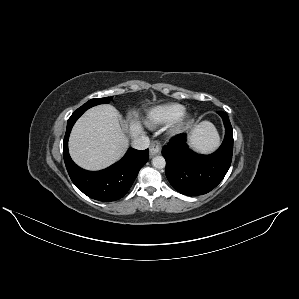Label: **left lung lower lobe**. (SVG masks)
I'll list each match as a JSON object with an SVG mask.
<instances>
[{
    "label": "left lung lower lobe",
    "mask_w": 299,
    "mask_h": 299,
    "mask_svg": "<svg viewBox=\"0 0 299 299\" xmlns=\"http://www.w3.org/2000/svg\"><path fill=\"white\" fill-rule=\"evenodd\" d=\"M223 119L225 138L219 149L210 155H200L189 149L185 135L173 137L162 149L166 160V177L181 194L203 195L215 188L226 175L232 160L233 132L228 115Z\"/></svg>",
    "instance_id": "0a47b994"
}]
</instances>
